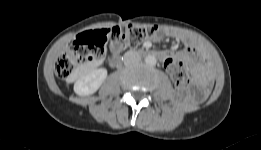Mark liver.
I'll return each instance as SVG.
<instances>
[{
	"instance_id": "1",
	"label": "liver",
	"mask_w": 261,
	"mask_h": 150,
	"mask_svg": "<svg viewBox=\"0 0 261 150\" xmlns=\"http://www.w3.org/2000/svg\"><path fill=\"white\" fill-rule=\"evenodd\" d=\"M97 63H86L81 67L82 73L90 71Z\"/></svg>"
}]
</instances>
